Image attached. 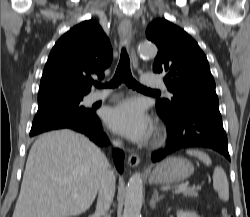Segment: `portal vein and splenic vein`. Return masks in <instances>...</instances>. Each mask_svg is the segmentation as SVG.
<instances>
[{
    "instance_id": "18ae733b",
    "label": "portal vein and splenic vein",
    "mask_w": 250,
    "mask_h": 217,
    "mask_svg": "<svg viewBox=\"0 0 250 217\" xmlns=\"http://www.w3.org/2000/svg\"><path fill=\"white\" fill-rule=\"evenodd\" d=\"M193 188H195V186L189 187L188 184H181L177 189H175L174 193L183 192V191H186L188 189H193Z\"/></svg>"
}]
</instances>
